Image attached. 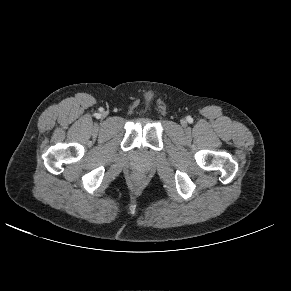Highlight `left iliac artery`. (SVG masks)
I'll use <instances>...</instances> for the list:
<instances>
[{"instance_id": "left-iliac-artery-1", "label": "left iliac artery", "mask_w": 291, "mask_h": 291, "mask_svg": "<svg viewBox=\"0 0 291 291\" xmlns=\"http://www.w3.org/2000/svg\"><path fill=\"white\" fill-rule=\"evenodd\" d=\"M188 122H192V118L191 117H188Z\"/></svg>"}]
</instances>
